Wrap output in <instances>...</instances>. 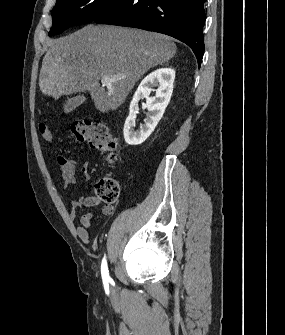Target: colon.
<instances>
[{
    "mask_svg": "<svg viewBox=\"0 0 285 335\" xmlns=\"http://www.w3.org/2000/svg\"><path fill=\"white\" fill-rule=\"evenodd\" d=\"M39 132L47 142L53 140L52 132L47 124L41 123ZM70 134L74 141L79 143L87 142L92 148L104 153L109 162L116 160L118 141L105 124L88 119H80L72 124ZM95 193L102 202L111 205L117 202L119 198L120 185L115 178L105 176L96 182Z\"/></svg>",
    "mask_w": 285,
    "mask_h": 335,
    "instance_id": "colon-1",
    "label": "colon"
}]
</instances>
